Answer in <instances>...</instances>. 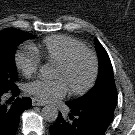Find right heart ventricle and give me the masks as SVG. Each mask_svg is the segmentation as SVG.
Segmentation results:
<instances>
[{
    "instance_id": "1",
    "label": "right heart ventricle",
    "mask_w": 135,
    "mask_h": 135,
    "mask_svg": "<svg viewBox=\"0 0 135 135\" xmlns=\"http://www.w3.org/2000/svg\"><path fill=\"white\" fill-rule=\"evenodd\" d=\"M87 49L80 40L67 35H53L43 39L35 52L42 56L47 62L58 64L65 60L71 53L77 50Z\"/></svg>"
}]
</instances>
